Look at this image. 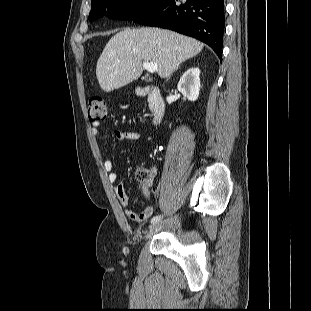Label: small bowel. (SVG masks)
<instances>
[{"label": "small bowel", "instance_id": "small-bowel-1", "mask_svg": "<svg viewBox=\"0 0 311 311\" xmlns=\"http://www.w3.org/2000/svg\"><path fill=\"white\" fill-rule=\"evenodd\" d=\"M91 132L93 135H98L100 132V123L95 122L91 126ZM114 138L118 141H138L141 139V134L136 131H124V130H115L113 132ZM104 170L108 175V180L111 183H115L118 180V175L114 171V164L112 160H106L104 162ZM155 175V171L152 172L151 176ZM115 194L118 201L123 207L125 215L133 221L140 223H145L154 213V205L150 202L151 192L147 184H144L142 187L143 196L147 201H149L147 207L141 212H135L129 205V198L126 193L125 187L123 184H117L114 188Z\"/></svg>", "mask_w": 311, "mask_h": 311}]
</instances>
